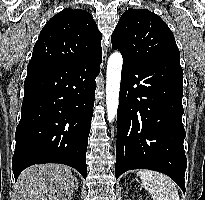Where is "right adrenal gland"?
<instances>
[{"instance_id": "obj_1", "label": "right adrenal gland", "mask_w": 205, "mask_h": 200, "mask_svg": "<svg viewBox=\"0 0 205 200\" xmlns=\"http://www.w3.org/2000/svg\"><path fill=\"white\" fill-rule=\"evenodd\" d=\"M78 180L77 179H75V189H76V191H78Z\"/></svg>"}]
</instances>
